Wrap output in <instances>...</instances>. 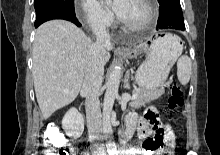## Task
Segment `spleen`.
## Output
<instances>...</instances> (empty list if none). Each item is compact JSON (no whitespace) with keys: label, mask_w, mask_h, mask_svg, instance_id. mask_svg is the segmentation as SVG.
Masks as SVG:
<instances>
[{"label":"spleen","mask_w":220,"mask_h":155,"mask_svg":"<svg viewBox=\"0 0 220 155\" xmlns=\"http://www.w3.org/2000/svg\"><path fill=\"white\" fill-rule=\"evenodd\" d=\"M192 63L187 55L181 56L177 61V77L182 85H187L191 77Z\"/></svg>","instance_id":"obj_1"}]
</instances>
